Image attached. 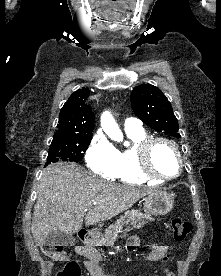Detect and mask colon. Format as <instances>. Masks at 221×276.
I'll return each instance as SVG.
<instances>
[{"instance_id": "5ec220e1", "label": "colon", "mask_w": 221, "mask_h": 276, "mask_svg": "<svg viewBox=\"0 0 221 276\" xmlns=\"http://www.w3.org/2000/svg\"><path fill=\"white\" fill-rule=\"evenodd\" d=\"M191 230V223L179 218L172 219L170 235L175 241L184 240ZM42 251L46 256L56 261H63L66 259L63 246L44 245ZM56 276H80V267L76 262H69Z\"/></svg>"}]
</instances>
